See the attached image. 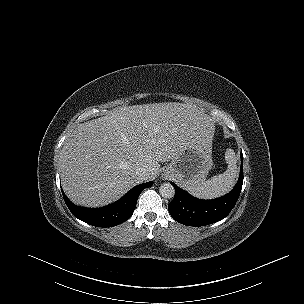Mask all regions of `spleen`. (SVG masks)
I'll list each match as a JSON object with an SVG mask.
<instances>
[{"label":"spleen","instance_id":"spleen-1","mask_svg":"<svg viewBox=\"0 0 304 304\" xmlns=\"http://www.w3.org/2000/svg\"><path fill=\"white\" fill-rule=\"evenodd\" d=\"M225 160L228 167L224 173L213 176L195 188L187 189L190 194L197 198L212 199L229 192L235 185L238 176L237 158L232 149L226 151Z\"/></svg>","mask_w":304,"mask_h":304}]
</instances>
